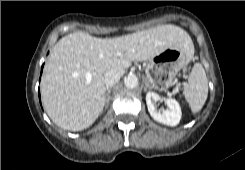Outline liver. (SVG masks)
<instances>
[{
	"label": "liver",
	"instance_id": "6515ba94",
	"mask_svg": "<svg viewBox=\"0 0 245 170\" xmlns=\"http://www.w3.org/2000/svg\"><path fill=\"white\" fill-rule=\"evenodd\" d=\"M168 48L194 53L188 33L175 25H160L112 39L75 32L61 38L45 63L41 95L45 111L59 127L81 131L100 116L106 103L104 77L125 71Z\"/></svg>",
	"mask_w": 245,
	"mask_h": 170
}]
</instances>
